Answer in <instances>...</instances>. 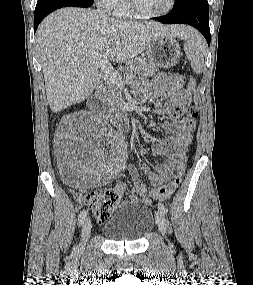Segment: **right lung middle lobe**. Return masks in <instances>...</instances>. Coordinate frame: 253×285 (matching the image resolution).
<instances>
[{"label": "right lung middle lobe", "mask_w": 253, "mask_h": 285, "mask_svg": "<svg viewBox=\"0 0 253 285\" xmlns=\"http://www.w3.org/2000/svg\"><path fill=\"white\" fill-rule=\"evenodd\" d=\"M86 1H90V2H93V0H86Z\"/></svg>", "instance_id": "right-lung-middle-lobe-1"}]
</instances>
